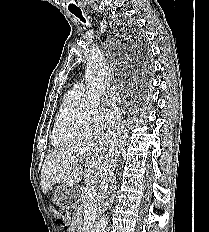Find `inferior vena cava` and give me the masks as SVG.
Here are the masks:
<instances>
[{
  "label": "inferior vena cava",
  "mask_w": 209,
  "mask_h": 232,
  "mask_svg": "<svg viewBox=\"0 0 209 232\" xmlns=\"http://www.w3.org/2000/svg\"><path fill=\"white\" fill-rule=\"evenodd\" d=\"M105 139L108 141V147L111 155H113V159L117 160L118 155H121V153H118L117 150V140L115 138V135L112 131L108 130L105 134ZM115 169V161H112L107 165V167L104 169L102 173V182H101V195L104 197L107 195V190L109 183L111 181V175L113 174Z\"/></svg>",
  "instance_id": "1"
}]
</instances>
